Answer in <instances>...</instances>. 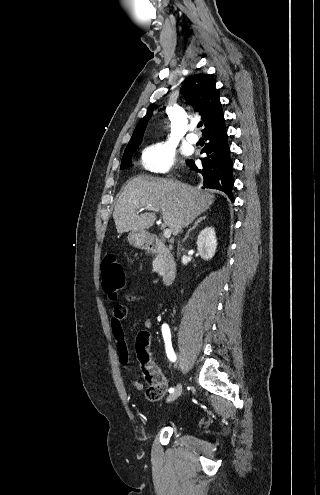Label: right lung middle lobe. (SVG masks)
<instances>
[{"mask_svg": "<svg viewBox=\"0 0 320 495\" xmlns=\"http://www.w3.org/2000/svg\"><path fill=\"white\" fill-rule=\"evenodd\" d=\"M137 148H138V146H136L134 148H130V149L124 151V155H123V158H122V161H121L120 168H127V167H131L132 166L131 156H132V154L135 152V150Z\"/></svg>", "mask_w": 320, "mask_h": 495, "instance_id": "dd1d6c3e", "label": "right lung middle lobe"}]
</instances>
